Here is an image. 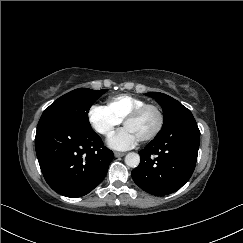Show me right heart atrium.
<instances>
[{
	"label": "right heart atrium",
	"mask_w": 243,
	"mask_h": 243,
	"mask_svg": "<svg viewBox=\"0 0 243 243\" xmlns=\"http://www.w3.org/2000/svg\"><path fill=\"white\" fill-rule=\"evenodd\" d=\"M87 120L93 130L103 136H108L121 123L107 106L99 104L90 106Z\"/></svg>",
	"instance_id": "d8ad5b80"
}]
</instances>
